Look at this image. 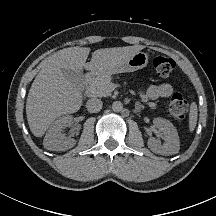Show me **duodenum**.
Instances as JSON below:
<instances>
[{
    "mask_svg": "<svg viewBox=\"0 0 216 216\" xmlns=\"http://www.w3.org/2000/svg\"><path fill=\"white\" fill-rule=\"evenodd\" d=\"M93 77H94L93 74L86 75V77H85V83H84V86H83V90L84 91L87 89V86H88L89 82L92 81Z\"/></svg>",
    "mask_w": 216,
    "mask_h": 216,
    "instance_id": "obj_1",
    "label": "duodenum"
}]
</instances>
